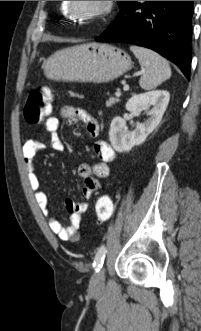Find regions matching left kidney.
I'll use <instances>...</instances> for the list:
<instances>
[{
  "mask_svg": "<svg viewBox=\"0 0 201 331\" xmlns=\"http://www.w3.org/2000/svg\"><path fill=\"white\" fill-rule=\"evenodd\" d=\"M170 94L164 90H153L143 94H134L126 103V110L133 114H140L144 109L152 106L148 111V119L137 124L133 131H129L126 121L115 117L109 130V140L113 148L120 153L129 152L134 146L141 145L148 135L159 125L168 106Z\"/></svg>",
  "mask_w": 201,
  "mask_h": 331,
  "instance_id": "5707ae66",
  "label": "left kidney"
}]
</instances>
